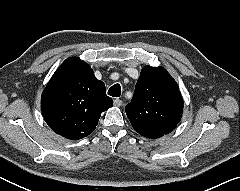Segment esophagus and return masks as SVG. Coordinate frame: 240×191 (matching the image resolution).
Returning a JSON list of instances; mask_svg holds the SVG:
<instances>
[{"label":"esophagus","mask_w":240,"mask_h":191,"mask_svg":"<svg viewBox=\"0 0 240 191\" xmlns=\"http://www.w3.org/2000/svg\"><path fill=\"white\" fill-rule=\"evenodd\" d=\"M122 105V100L116 98L114 99V106L120 107Z\"/></svg>","instance_id":"1"}]
</instances>
